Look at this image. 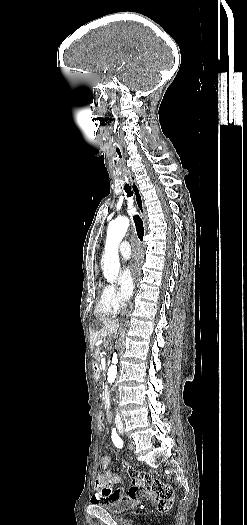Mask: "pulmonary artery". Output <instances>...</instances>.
<instances>
[{
	"label": "pulmonary artery",
	"mask_w": 247,
	"mask_h": 525,
	"mask_svg": "<svg viewBox=\"0 0 247 525\" xmlns=\"http://www.w3.org/2000/svg\"><path fill=\"white\" fill-rule=\"evenodd\" d=\"M120 254H121L122 260L124 262H127L129 260V257L132 254L129 242L124 241V242L121 243V245H120Z\"/></svg>",
	"instance_id": "obj_1"
}]
</instances>
